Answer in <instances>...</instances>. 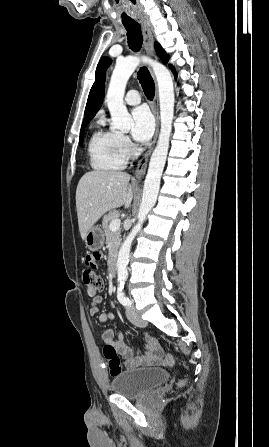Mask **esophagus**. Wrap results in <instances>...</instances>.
Masks as SVG:
<instances>
[{
    "instance_id": "34e87169",
    "label": "esophagus",
    "mask_w": 269,
    "mask_h": 447,
    "mask_svg": "<svg viewBox=\"0 0 269 447\" xmlns=\"http://www.w3.org/2000/svg\"><path fill=\"white\" fill-rule=\"evenodd\" d=\"M139 20H140L141 26H142L144 48L148 55L154 57L155 54H154V47H153V34H152V30L150 28V24L148 23L147 19L143 15L139 16ZM150 73L152 75V78H153L154 84H155V95H154V100H153V105H152V112H153V115L155 116V120H156V130H155V134H154V138H153L151 147L145 152L143 157L138 162L137 169H136V178H135L136 183L141 182V180L143 179V177L146 173L148 160H149V157L153 151L154 145L156 143V140L158 137V132H159V126H160V116H159V108H158L159 107L158 88H157L156 79H155L152 69H150Z\"/></svg>"
}]
</instances>
